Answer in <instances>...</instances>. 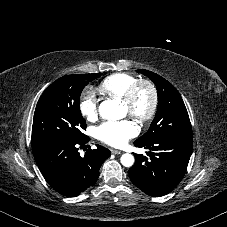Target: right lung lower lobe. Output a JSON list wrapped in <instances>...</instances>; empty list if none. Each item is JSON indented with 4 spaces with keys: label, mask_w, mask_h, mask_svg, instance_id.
Masks as SVG:
<instances>
[{
    "label": "right lung lower lobe",
    "mask_w": 227,
    "mask_h": 227,
    "mask_svg": "<svg viewBox=\"0 0 227 227\" xmlns=\"http://www.w3.org/2000/svg\"><path fill=\"white\" fill-rule=\"evenodd\" d=\"M89 140H54L33 148L39 170L58 193L75 197L96 183L100 166L111 152L97 145V149H88L81 157L78 146L84 147Z\"/></svg>",
    "instance_id": "obj_1"
}]
</instances>
